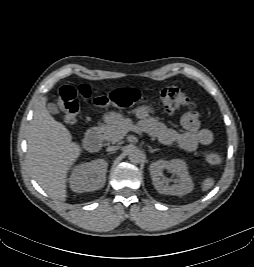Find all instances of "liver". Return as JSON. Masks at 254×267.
I'll use <instances>...</instances> for the list:
<instances>
[{
	"label": "liver",
	"instance_id": "obj_1",
	"mask_svg": "<svg viewBox=\"0 0 254 267\" xmlns=\"http://www.w3.org/2000/svg\"><path fill=\"white\" fill-rule=\"evenodd\" d=\"M43 97L34 111L27 135V162L37 183L53 199L67 198V173L82 152L69 130L56 121Z\"/></svg>",
	"mask_w": 254,
	"mask_h": 267
}]
</instances>
